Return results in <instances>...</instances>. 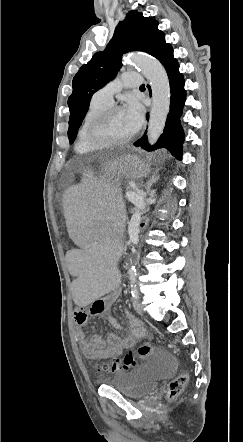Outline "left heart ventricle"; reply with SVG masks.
Wrapping results in <instances>:
<instances>
[{"label":"left heart ventricle","instance_id":"obj_1","mask_svg":"<svg viewBox=\"0 0 243 442\" xmlns=\"http://www.w3.org/2000/svg\"><path fill=\"white\" fill-rule=\"evenodd\" d=\"M133 133L123 110L113 113L105 125L99 130L100 138L106 141L125 139Z\"/></svg>","mask_w":243,"mask_h":442}]
</instances>
